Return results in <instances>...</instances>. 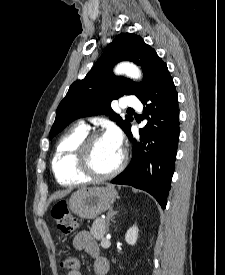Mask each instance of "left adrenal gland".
Masks as SVG:
<instances>
[{"mask_svg": "<svg viewBox=\"0 0 225 275\" xmlns=\"http://www.w3.org/2000/svg\"><path fill=\"white\" fill-rule=\"evenodd\" d=\"M117 214V211H113V209H110L107 213V231L109 230L110 220H113L114 215Z\"/></svg>", "mask_w": 225, "mask_h": 275, "instance_id": "obj_1", "label": "left adrenal gland"}]
</instances>
